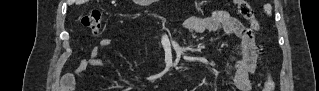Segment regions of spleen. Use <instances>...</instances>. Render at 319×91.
Returning <instances> with one entry per match:
<instances>
[{
  "instance_id": "spleen-1",
  "label": "spleen",
  "mask_w": 319,
  "mask_h": 91,
  "mask_svg": "<svg viewBox=\"0 0 319 91\" xmlns=\"http://www.w3.org/2000/svg\"><path fill=\"white\" fill-rule=\"evenodd\" d=\"M264 11L266 12L267 15L271 16L272 15V7L270 4L264 5Z\"/></svg>"
}]
</instances>
